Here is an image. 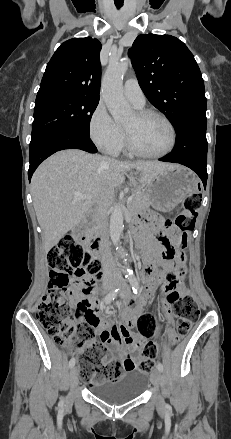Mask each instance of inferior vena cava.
I'll return each instance as SVG.
<instances>
[{
	"label": "inferior vena cava",
	"mask_w": 231,
	"mask_h": 439,
	"mask_svg": "<svg viewBox=\"0 0 231 439\" xmlns=\"http://www.w3.org/2000/svg\"><path fill=\"white\" fill-rule=\"evenodd\" d=\"M105 204L102 199L98 200L96 202L95 206V216L97 219V223L101 226L105 225V218H104V212H105ZM101 254H102V261L106 264L107 272L105 273V278H112L114 275V268H115V262L113 260L111 250L109 247V244L107 240H104V242L101 245Z\"/></svg>",
	"instance_id": "obj_1"
}]
</instances>
